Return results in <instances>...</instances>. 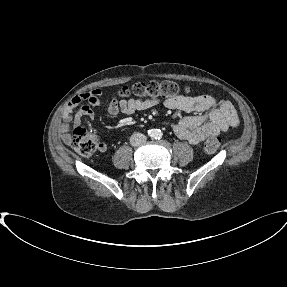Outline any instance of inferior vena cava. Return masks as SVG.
Returning a JSON list of instances; mask_svg holds the SVG:
<instances>
[{
    "mask_svg": "<svg viewBox=\"0 0 287 287\" xmlns=\"http://www.w3.org/2000/svg\"><path fill=\"white\" fill-rule=\"evenodd\" d=\"M146 139V136L142 133H133L130 137V144L134 147H137L142 145Z\"/></svg>",
    "mask_w": 287,
    "mask_h": 287,
    "instance_id": "inferior-vena-cava-1",
    "label": "inferior vena cava"
}]
</instances>
